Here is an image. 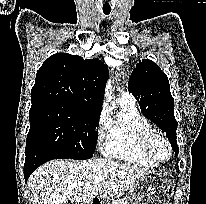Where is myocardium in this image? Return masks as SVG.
Masks as SVG:
<instances>
[{
  "label": "myocardium",
  "instance_id": "1",
  "mask_svg": "<svg viewBox=\"0 0 206 204\" xmlns=\"http://www.w3.org/2000/svg\"><path fill=\"white\" fill-rule=\"evenodd\" d=\"M154 137H159L161 138L167 145L168 148V156L165 160H158L156 159L151 150H150V142ZM139 145H140V149L143 152V154L153 163H155L156 165L158 164H164L167 163L173 154V149H172V145L171 142L169 141V139L167 138V136L154 128H149L146 131H144L139 139Z\"/></svg>",
  "mask_w": 206,
  "mask_h": 204
}]
</instances>
